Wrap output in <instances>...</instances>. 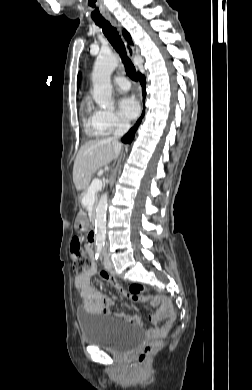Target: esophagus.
Masks as SVG:
<instances>
[{
	"label": "esophagus",
	"mask_w": 252,
	"mask_h": 390,
	"mask_svg": "<svg viewBox=\"0 0 252 390\" xmlns=\"http://www.w3.org/2000/svg\"><path fill=\"white\" fill-rule=\"evenodd\" d=\"M107 19H108L114 26H116V27H118V28L120 29V27H119L117 21H116L114 18H112L111 16H107ZM124 44H125V47H126L128 56H129L131 59H133L134 54H135L134 48L132 47V45H130V44H129L127 41H125V40H124Z\"/></svg>",
	"instance_id": "esophagus-1"
}]
</instances>
